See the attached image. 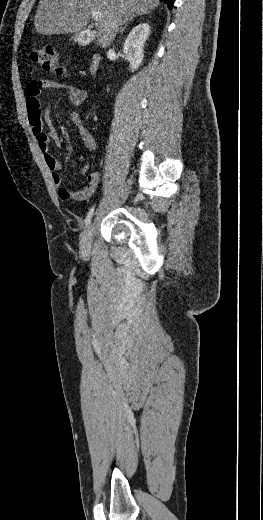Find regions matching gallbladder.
<instances>
[{
    "label": "gallbladder",
    "instance_id": "obj_1",
    "mask_svg": "<svg viewBox=\"0 0 263 520\" xmlns=\"http://www.w3.org/2000/svg\"><path fill=\"white\" fill-rule=\"evenodd\" d=\"M71 40H73L74 42H76V41H77V35L72 36V37H71Z\"/></svg>",
    "mask_w": 263,
    "mask_h": 520
}]
</instances>
